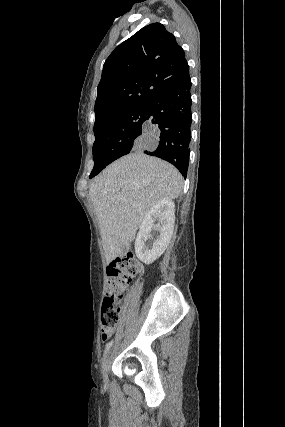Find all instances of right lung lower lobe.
<instances>
[{
  "mask_svg": "<svg viewBox=\"0 0 285 427\" xmlns=\"http://www.w3.org/2000/svg\"><path fill=\"white\" fill-rule=\"evenodd\" d=\"M191 78L189 74L175 86L147 103L141 147L144 153L173 164L186 178L191 141ZM138 145L136 148H139Z\"/></svg>",
  "mask_w": 285,
  "mask_h": 427,
  "instance_id": "98d812e1",
  "label": "right lung lower lobe"
}]
</instances>
